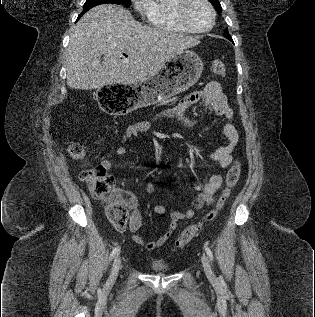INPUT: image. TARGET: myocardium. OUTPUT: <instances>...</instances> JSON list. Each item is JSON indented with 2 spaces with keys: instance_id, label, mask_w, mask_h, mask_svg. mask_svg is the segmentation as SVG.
<instances>
[{
  "instance_id": "1",
  "label": "myocardium",
  "mask_w": 315,
  "mask_h": 317,
  "mask_svg": "<svg viewBox=\"0 0 315 317\" xmlns=\"http://www.w3.org/2000/svg\"><path fill=\"white\" fill-rule=\"evenodd\" d=\"M193 1L194 0H179L178 5H177V9H176L177 18H178L179 22L190 32H193V33L209 32L213 28V26L215 24V19H216V13H215V9H214L213 5L211 4V2L209 0H201L208 7V9L210 11V15H211V20H210V24L208 27L203 28V29H198V28L193 27L187 18L188 7Z\"/></svg>"
}]
</instances>
